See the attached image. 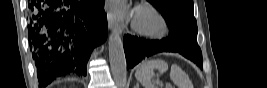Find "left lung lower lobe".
<instances>
[{
	"mask_svg": "<svg viewBox=\"0 0 267 88\" xmlns=\"http://www.w3.org/2000/svg\"><path fill=\"white\" fill-rule=\"evenodd\" d=\"M124 51L127 60V68L134 67L145 56L158 52H178L184 57L196 63L200 68L202 65V52L197 44L195 33L188 31H170L169 38L162 40H145L130 35L124 36Z\"/></svg>",
	"mask_w": 267,
	"mask_h": 88,
	"instance_id": "1",
	"label": "left lung lower lobe"
}]
</instances>
